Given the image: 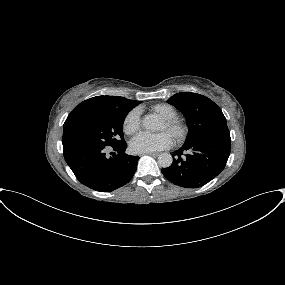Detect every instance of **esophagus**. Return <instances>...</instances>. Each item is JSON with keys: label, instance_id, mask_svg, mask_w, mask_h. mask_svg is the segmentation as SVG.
<instances>
[{"label": "esophagus", "instance_id": "34e87169", "mask_svg": "<svg viewBox=\"0 0 285 285\" xmlns=\"http://www.w3.org/2000/svg\"><path fill=\"white\" fill-rule=\"evenodd\" d=\"M160 153L159 152H150L149 155L151 156H158Z\"/></svg>", "mask_w": 285, "mask_h": 285}]
</instances>
